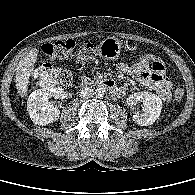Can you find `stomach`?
<instances>
[{
  "mask_svg": "<svg viewBox=\"0 0 195 195\" xmlns=\"http://www.w3.org/2000/svg\"><path fill=\"white\" fill-rule=\"evenodd\" d=\"M121 48V42L117 38L108 37L98 46V55L106 60H115L119 57Z\"/></svg>",
  "mask_w": 195,
  "mask_h": 195,
  "instance_id": "obj_1",
  "label": "stomach"
}]
</instances>
